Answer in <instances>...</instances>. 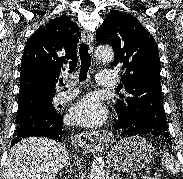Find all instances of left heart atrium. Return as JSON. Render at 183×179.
<instances>
[{
    "label": "left heart atrium",
    "instance_id": "obj_1",
    "mask_svg": "<svg viewBox=\"0 0 183 179\" xmlns=\"http://www.w3.org/2000/svg\"><path fill=\"white\" fill-rule=\"evenodd\" d=\"M70 120L85 127H97L106 119V109L94 96H86L75 104L69 114Z\"/></svg>",
    "mask_w": 183,
    "mask_h": 179
}]
</instances>
